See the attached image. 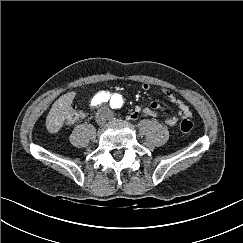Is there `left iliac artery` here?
<instances>
[{"label":"left iliac artery","instance_id":"44dca946","mask_svg":"<svg viewBox=\"0 0 243 243\" xmlns=\"http://www.w3.org/2000/svg\"><path fill=\"white\" fill-rule=\"evenodd\" d=\"M110 105L112 108H119L122 106V99L119 95H113L110 100Z\"/></svg>","mask_w":243,"mask_h":243}]
</instances>
